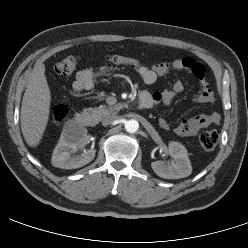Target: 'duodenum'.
Listing matches in <instances>:
<instances>
[{
    "label": "duodenum",
    "mask_w": 248,
    "mask_h": 248,
    "mask_svg": "<svg viewBox=\"0 0 248 248\" xmlns=\"http://www.w3.org/2000/svg\"><path fill=\"white\" fill-rule=\"evenodd\" d=\"M139 106L141 109H149L152 106L148 94L140 95ZM74 122L83 127H93L96 124V121L93 116L83 112L76 113L74 117Z\"/></svg>",
    "instance_id": "1"
}]
</instances>
